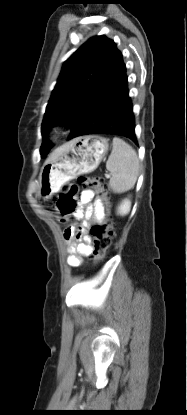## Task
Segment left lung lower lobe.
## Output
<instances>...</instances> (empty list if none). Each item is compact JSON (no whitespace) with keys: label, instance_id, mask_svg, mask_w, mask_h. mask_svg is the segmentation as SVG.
Returning <instances> with one entry per match:
<instances>
[{"label":"left lung lower lobe","instance_id":"0a47b994","mask_svg":"<svg viewBox=\"0 0 187 415\" xmlns=\"http://www.w3.org/2000/svg\"><path fill=\"white\" fill-rule=\"evenodd\" d=\"M90 99L99 101V109L91 116L85 115L72 128L69 139L88 134H113L137 144L126 66L116 47L96 80Z\"/></svg>","mask_w":187,"mask_h":415}]
</instances>
